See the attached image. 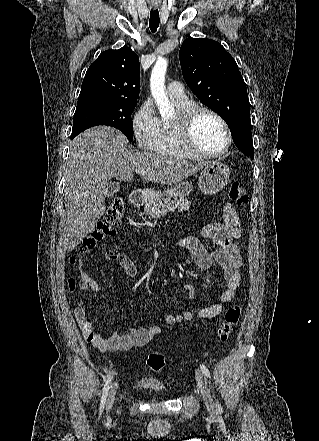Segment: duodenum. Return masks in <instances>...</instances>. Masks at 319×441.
I'll use <instances>...</instances> for the list:
<instances>
[{
  "instance_id": "obj_1",
  "label": "duodenum",
  "mask_w": 319,
  "mask_h": 441,
  "mask_svg": "<svg viewBox=\"0 0 319 441\" xmlns=\"http://www.w3.org/2000/svg\"><path fill=\"white\" fill-rule=\"evenodd\" d=\"M146 193L141 190L133 191L130 194L129 202L133 206H138L146 201Z\"/></svg>"
}]
</instances>
